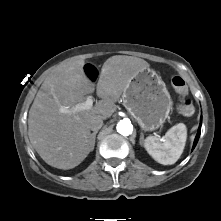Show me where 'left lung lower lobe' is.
Listing matches in <instances>:
<instances>
[{
	"label": "left lung lower lobe",
	"instance_id": "obj_1",
	"mask_svg": "<svg viewBox=\"0 0 221 221\" xmlns=\"http://www.w3.org/2000/svg\"><path fill=\"white\" fill-rule=\"evenodd\" d=\"M201 122H202V118L200 120V125H199V129H198V133L196 135V138H195V141H194V144H193V149L194 147L196 146L197 142H198V139H199V136H200V133H201Z\"/></svg>",
	"mask_w": 221,
	"mask_h": 221
}]
</instances>
